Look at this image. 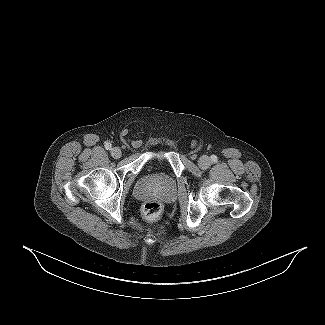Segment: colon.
Listing matches in <instances>:
<instances>
[{"label":"colon","mask_w":325,"mask_h":325,"mask_svg":"<svg viewBox=\"0 0 325 325\" xmlns=\"http://www.w3.org/2000/svg\"><path fill=\"white\" fill-rule=\"evenodd\" d=\"M162 213V205L156 200L147 201L142 207V214L147 221H156Z\"/></svg>","instance_id":"colon-1"}]
</instances>
